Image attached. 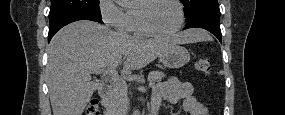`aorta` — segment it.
Segmentation results:
<instances>
[{
  "mask_svg": "<svg viewBox=\"0 0 285 115\" xmlns=\"http://www.w3.org/2000/svg\"><path fill=\"white\" fill-rule=\"evenodd\" d=\"M116 2H117L118 4H124L126 1H125V0H116ZM134 115H140L139 111H135V112H134Z\"/></svg>",
  "mask_w": 285,
  "mask_h": 115,
  "instance_id": "obj_1",
  "label": "aorta"
}]
</instances>
